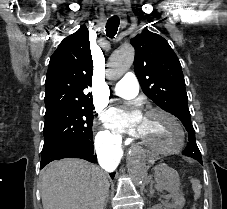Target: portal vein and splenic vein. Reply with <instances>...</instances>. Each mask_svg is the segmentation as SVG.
<instances>
[{
  "label": "portal vein and splenic vein",
  "instance_id": "obj_1",
  "mask_svg": "<svg viewBox=\"0 0 227 209\" xmlns=\"http://www.w3.org/2000/svg\"><path fill=\"white\" fill-rule=\"evenodd\" d=\"M162 197H163L164 199H165V198H168V197H170V198H171V197H172V195H171V194L166 193V194H164Z\"/></svg>",
  "mask_w": 227,
  "mask_h": 209
}]
</instances>
